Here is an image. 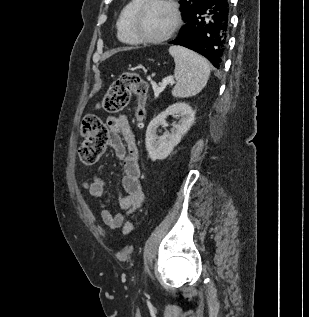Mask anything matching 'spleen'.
<instances>
[{"mask_svg":"<svg viewBox=\"0 0 309 317\" xmlns=\"http://www.w3.org/2000/svg\"><path fill=\"white\" fill-rule=\"evenodd\" d=\"M170 55L174 58L176 85L172 95L186 98L198 94L207 84L210 76L208 62L197 53L181 46H171Z\"/></svg>","mask_w":309,"mask_h":317,"instance_id":"spleen-1","label":"spleen"}]
</instances>
